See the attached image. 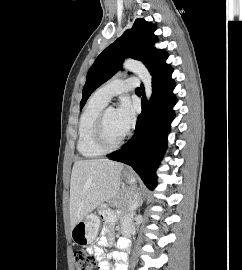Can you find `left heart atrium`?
<instances>
[{"label": "left heart atrium", "instance_id": "obj_1", "mask_svg": "<svg viewBox=\"0 0 242 270\" xmlns=\"http://www.w3.org/2000/svg\"><path fill=\"white\" fill-rule=\"evenodd\" d=\"M116 112L120 125L127 132L136 119L135 105L129 99L125 98L119 104Z\"/></svg>", "mask_w": 242, "mask_h": 270}]
</instances>
